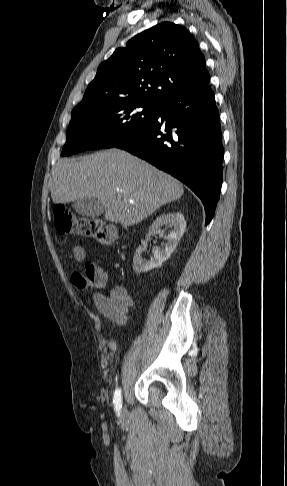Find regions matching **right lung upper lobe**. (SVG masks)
Segmentation results:
<instances>
[{
	"mask_svg": "<svg viewBox=\"0 0 287 486\" xmlns=\"http://www.w3.org/2000/svg\"><path fill=\"white\" fill-rule=\"evenodd\" d=\"M209 81L195 38L183 26L163 22L134 36L125 48L116 49L102 62L73 111L123 99L160 104Z\"/></svg>",
	"mask_w": 287,
	"mask_h": 486,
	"instance_id": "obj_1",
	"label": "right lung upper lobe"
}]
</instances>
